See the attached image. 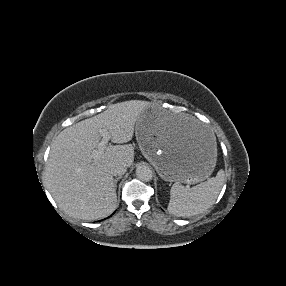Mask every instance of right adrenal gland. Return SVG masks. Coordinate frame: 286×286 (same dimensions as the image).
Here are the masks:
<instances>
[{
    "label": "right adrenal gland",
    "instance_id": "2a0ac1e0",
    "mask_svg": "<svg viewBox=\"0 0 286 286\" xmlns=\"http://www.w3.org/2000/svg\"><path fill=\"white\" fill-rule=\"evenodd\" d=\"M122 177H117L116 179H114V187L115 189L117 188V182L121 179Z\"/></svg>",
    "mask_w": 286,
    "mask_h": 286
}]
</instances>
